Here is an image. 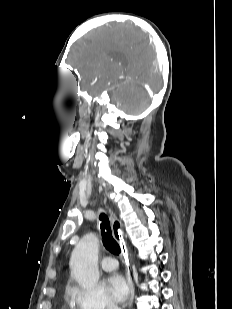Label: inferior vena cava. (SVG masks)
<instances>
[{
	"label": "inferior vena cava",
	"mask_w": 232,
	"mask_h": 309,
	"mask_svg": "<svg viewBox=\"0 0 232 309\" xmlns=\"http://www.w3.org/2000/svg\"><path fill=\"white\" fill-rule=\"evenodd\" d=\"M108 309H120L117 307V305H115L113 302H111L108 306Z\"/></svg>",
	"instance_id": "inferior-vena-cava-1"
}]
</instances>
